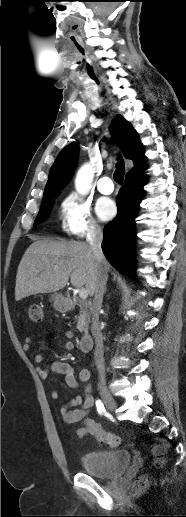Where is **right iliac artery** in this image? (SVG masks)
Listing matches in <instances>:
<instances>
[{
    "instance_id": "82829eb1",
    "label": "right iliac artery",
    "mask_w": 186,
    "mask_h": 517,
    "mask_svg": "<svg viewBox=\"0 0 186 517\" xmlns=\"http://www.w3.org/2000/svg\"><path fill=\"white\" fill-rule=\"evenodd\" d=\"M96 408H97V411H98V413L100 415L105 414V412H106L105 407H104L103 403L100 400L96 401Z\"/></svg>"
}]
</instances>
